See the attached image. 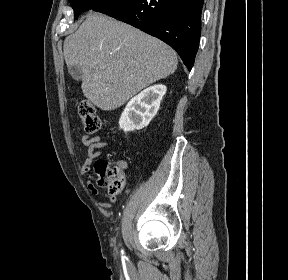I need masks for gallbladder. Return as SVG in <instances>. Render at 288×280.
I'll use <instances>...</instances> for the list:
<instances>
[{
    "label": "gallbladder",
    "mask_w": 288,
    "mask_h": 280,
    "mask_svg": "<svg viewBox=\"0 0 288 280\" xmlns=\"http://www.w3.org/2000/svg\"><path fill=\"white\" fill-rule=\"evenodd\" d=\"M68 69H69V73L71 74L73 78H75L76 80L81 79L82 70L80 67L74 65V66H70Z\"/></svg>",
    "instance_id": "bac80fb5"
}]
</instances>
